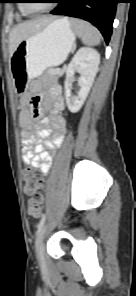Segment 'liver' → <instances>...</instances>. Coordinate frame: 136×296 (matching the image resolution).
Listing matches in <instances>:
<instances>
[{
  "instance_id": "liver-1",
  "label": "liver",
  "mask_w": 136,
  "mask_h": 296,
  "mask_svg": "<svg viewBox=\"0 0 136 296\" xmlns=\"http://www.w3.org/2000/svg\"><path fill=\"white\" fill-rule=\"evenodd\" d=\"M53 17H40L25 21L12 29L9 35L10 55L14 53L19 43L43 29Z\"/></svg>"
}]
</instances>
